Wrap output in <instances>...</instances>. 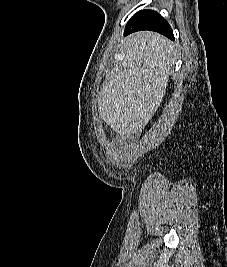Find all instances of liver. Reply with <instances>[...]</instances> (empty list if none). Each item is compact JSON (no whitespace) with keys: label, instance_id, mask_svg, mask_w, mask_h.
<instances>
[{"label":"liver","instance_id":"obj_1","mask_svg":"<svg viewBox=\"0 0 227 267\" xmlns=\"http://www.w3.org/2000/svg\"><path fill=\"white\" fill-rule=\"evenodd\" d=\"M123 71L102 87L99 112L115 132L134 134L154 116L166 93L175 49L154 32L130 35L125 43Z\"/></svg>","mask_w":227,"mask_h":267}]
</instances>
